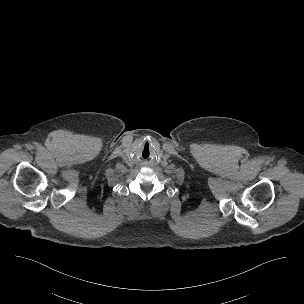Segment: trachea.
Listing matches in <instances>:
<instances>
[{
	"label": "trachea",
	"instance_id": "3493384b",
	"mask_svg": "<svg viewBox=\"0 0 304 304\" xmlns=\"http://www.w3.org/2000/svg\"><path fill=\"white\" fill-rule=\"evenodd\" d=\"M151 153H152L151 149L149 147L145 146L140 149L139 155L143 159H148V158H150Z\"/></svg>",
	"mask_w": 304,
	"mask_h": 304
}]
</instances>
